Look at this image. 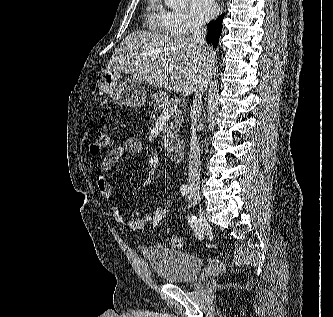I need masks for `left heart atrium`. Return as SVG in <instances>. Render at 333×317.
Masks as SVG:
<instances>
[{
	"label": "left heart atrium",
	"instance_id": "1",
	"mask_svg": "<svg viewBox=\"0 0 333 317\" xmlns=\"http://www.w3.org/2000/svg\"><path fill=\"white\" fill-rule=\"evenodd\" d=\"M189 10L194 20L202 23L217 13L218 6L215 0H190Z\"/></svg>",
	"mask_w": 333,
	"mask_h": 317
}]
</instances>
